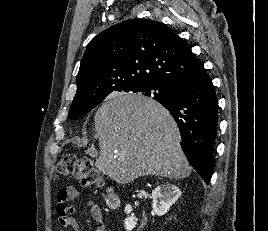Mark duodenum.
I'll return each mask as SVG.
<instances>
[{
	"mask_svg": "<svg viewBox=\"0 0 268 231\" xmlns=\"http://www.w3.org/2000/svg\"><path fill=\"white\" fill-rule=\"evenodd\" d=\"M118 202H119V199L115 195H109L107 197V204L109 205V207H112V208L117 207L118 206Z\"/></svg>",
	"mask_w": 268,
	"mask_h": 231,
	"instance_id": "obj_1",
	"label": "duodenum"
}]
</instances>
